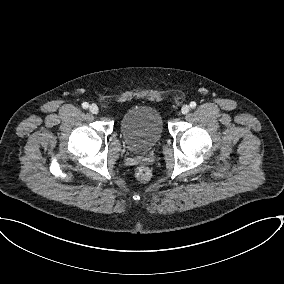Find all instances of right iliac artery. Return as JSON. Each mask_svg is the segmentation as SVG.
<instances>
[{"mask_svg": "<svg viewBox=\"0 0 284 284\" xmlns=\"http://www.w3.org/2000/svg\"><path fill=\"white\" fill-rule=\"evenodd\" d=\"M82 107L84 109H87L89 107V104L87 102L82 103Z\"/></svg>", "mask_w": 284, "mask_h": 284, "instance_id": "82829eb1", "label": "right iliac artery"}]
</instances>
